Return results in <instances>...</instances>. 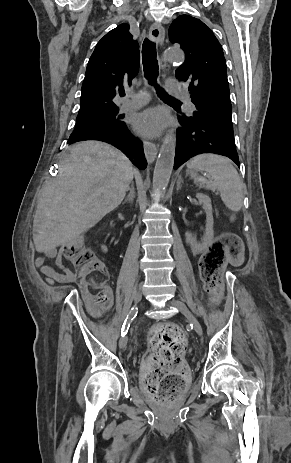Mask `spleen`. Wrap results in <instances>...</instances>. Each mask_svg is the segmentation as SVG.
<instances>
[{"label":"spleen","instance_id":"spleen-1","mask_svg":"<svg viewBox=\"0 0 291 463\" xmlns=\"http://www.w3.org/2000/svg\"><path fill=\"white\" fill-rule=\"evenodd\" d=\"M188 168L205 171L211 180L195 177L194 182L208 189L218 190L225 206L238 212L243 206L244 185L230 160L214 154H202L187 163Z\"/></svg>","mask_w":291,"mask_h":463}]
</instances>
